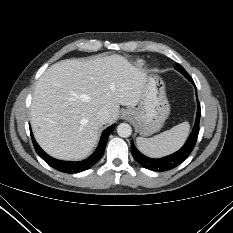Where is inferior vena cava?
<instances>
[{
	"label": "inferior vena cava",
	"instance_id": "inferior-vena-cava-1",
	"mask_svg": "<svg viewBox=\"0 0 233 233\" xmlns=\"http://www.w3.org/2000/svg\"><path fill=\"white\" fill-rule=\"evenodd\" d=\"M97 119L102 124H106L109 121V113L107 110H100L97 114Z\"/></svg>",
	"mask_w": 233,
	"mask_h": 233
}]
</instances>
